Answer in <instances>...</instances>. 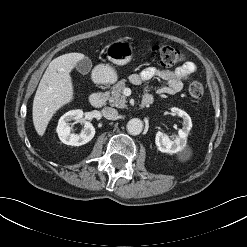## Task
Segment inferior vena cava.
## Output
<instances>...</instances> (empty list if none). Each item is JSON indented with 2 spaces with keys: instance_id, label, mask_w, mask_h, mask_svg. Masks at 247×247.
<instances>
[{
  "instance_id": "obj_1",
  "label": "inferior vena cava",
  "mask_w": 247,
  "mask_h": 247,
  "mask_svg": "<svg viewBox=\"0 0 247 247\" xmlns=\"http://www.w3.org/2000/svg\"><path fill=\"white\" fill-rule=\"evenodd\" d=\"M102 113H103V116L109 120H114L118 116V111L111 107L103 108Z\"/></svg>"
}]
</instances>
